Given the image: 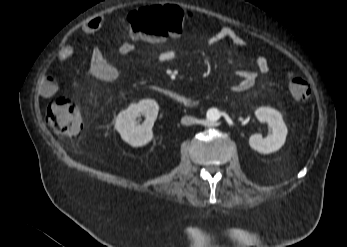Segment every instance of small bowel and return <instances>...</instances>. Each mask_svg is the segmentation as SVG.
<instances>
[{
  "instance_id": "c3829d8e",
  "label": "small bowel",
  "mask_w": 347,
  "mask_h": 247,
  "mask_svg": "<svg viewBox=\"0 0 347 247\" xmlns=\"http://www.w3.org/2000/svg\"><path fill=\"white\" fill-rule=\"evenodd\" d=\"M104 26L102 18H94L86 21L80 30L85 34H94ZM180 34L171 35L172 38L179 37ZM223 41H229L234 47L242 49L247 43L244 37L235 29L225 26L218 29L214 34L206 39V44L211 46ZM119 52L123 55L132 54L135 46L130 41H122L119 45ZM74 48L67 42L58 51L56 61L63 63L67 61L73 54ZM176 52L173 49H165L158 54V60L162 63H169L175 58ZM255 65L259 72L265 73L269 70V62L264 56H257ZM90 72L98 80L111 82L121 76V70L114 64L109 63L99 48L95 49L91 55ZM237 80L230 85V89L234 92H243L252 88L257 80L255 71H243V74L236 75ZM38 88L42 96L50 97L58 89L57 83L48 73H42L38 79Z\"/></svg>"
}]
</instances>
